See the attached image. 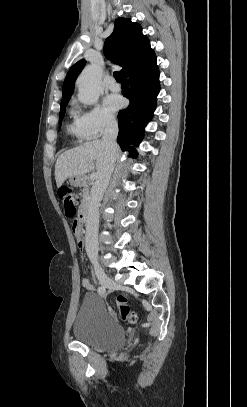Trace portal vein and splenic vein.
I'll use <instances>...</instances> for the list:
<instances>
[{
  "label": "portal vein and splenic vein",
  "mask_w": 247,
  "mask_h": 407,
  "mask_svg": "<svg viewBox=\"0 0 247 407\" xmlns=\"http://www.w3.org/2000/svg\"><path fill=\"white\" fill-rule=\"evenodd\" d=\"M97 176H98V174H97L96 172H93V173L90 175V179H91V180H95V179L97 178Z\"/></svg>",
  "instance_id": "1"
}]
</instances>
